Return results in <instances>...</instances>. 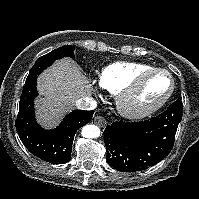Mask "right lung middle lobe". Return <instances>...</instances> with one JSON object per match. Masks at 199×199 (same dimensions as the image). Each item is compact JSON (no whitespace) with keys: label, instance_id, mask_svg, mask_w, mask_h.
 I'll return each instance as SVG.
<instances>
[{"label":"right lung middle lobe","instance_id":"right-lung-middle-lobe-1","mask_svg":"<svg viewBox=\"0 0 199 199\" xmlns=\"http://www.w3.org/2000/svg\"><path fill=\"white\" fill-rule=\"evenodd\" d=\"M74 48L71 45H64L60 48H57L50 53L39 57L34 65H39L46 62H54L57 59H61L63 57H73L74 56ZM33 65V66H34Z\"/></svg>","mask_w":199,"mask_h":199}]
</instances>
